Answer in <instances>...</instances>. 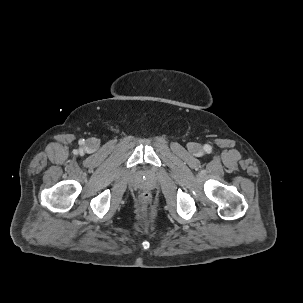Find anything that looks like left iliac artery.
I'll list each match as a JSON object with an SVG mask.
<instances>
[{"mask_svg": "<svg viewBox=\"0 0 303 303\" xmlns=\"http://www.w3.org/2000/svg\"><path fill=\"white\" fill-rule=\"evenodd\" d=\"M204 149L207 153L211 152V147L209 145H205Z\"/></svg>", "mask_w": 303, "mask_h": 303, "instance_id": "1", "label": "left iliac artery"}]
</instances>
